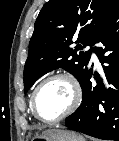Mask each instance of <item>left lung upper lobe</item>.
<instances>
[{
	"label": "left lung upper lobe",
	"instance_id": "1",
	"mask_svg": "<svg viewBox=\"0 0 119 141\" xmlns=\"http://www.w3.org/2000/svg\"><path fill=\"white\" fill-rule=\"evenodd\" d=\"M119 8V0H50L41 9L29 43L24 67L25 92L45 73L63 68L82 83L89 69L92 46L98 32ZM76 39L77 49L70 45Z\"/></svg>",
	"mask_w": 119,
	"mask_h": 141
}]
</instances>
